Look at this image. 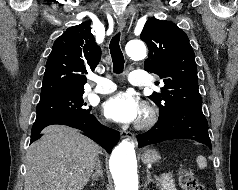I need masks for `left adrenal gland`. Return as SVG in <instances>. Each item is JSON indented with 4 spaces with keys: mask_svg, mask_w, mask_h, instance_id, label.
<instances>
[{
    "mask_svg": "<svg viewBox=\"0 0 238 190\" xmlns=\"http://www.w3.org/2000/svg\"><path fill=\"white\" fill-rule=\"evenodd\" d=\"M147 181L145 182V186L147 187L151 182H154V180L151 178L150 171L147 170Z\"/></svg>",
    "mask_w": 238,
    "mask_h": 190,
    "instance_id": "left-adrenal-gland-1",
    "label": "left adrenal gland"
}]
</instances>
